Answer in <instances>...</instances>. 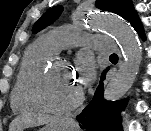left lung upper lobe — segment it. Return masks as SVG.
Here are the masks:
<instances>
[{"mask_svg": "<svg viewBox=\"0 0 151 131\" xmlns=\"http://www.w3.org/2000/svg\"><path fill=\"white\" fill-rule=\"evenodd\" d=\"M96 7L116 13L129 22L137 15L131 0H97ZM62 10V6H55L46 11L34 24L32 32L36 33L53 23L60 16Z\"/></svg>", "mask_w": 151, "mask_h": 131, "instance_id": "obj_1", "label": "left lung upper lobe"}]
</instances>
